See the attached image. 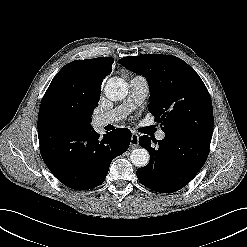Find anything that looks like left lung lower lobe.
I'll list each match as a JSON object with an SVG mask.
<instances>
[{
	"label": "left lung lower lobe",
	"instance_id": "0a47b994",
	"mask_svg": "<svg viewBox=\"0 0 247 247\" xmlns=\"http://www.w3.org/2000/svg\"><path fill=\"white\" fill-rule=\"evenodd\" d=\"M154 138L143 135L139 138L141 147L150 153V161L136 172L144 186L160 193H171L186 186L204 165L210 147V139L165 134L155 148Z\"/></svg>",
	"mask_w": 247,
	"mask_h": 247
}]
</instances>
